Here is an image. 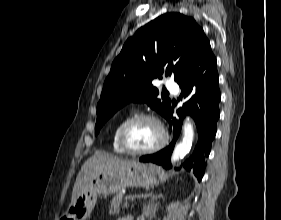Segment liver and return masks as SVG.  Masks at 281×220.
I'll return each instance as SVG.
<instances>
[{
    "mask_svg": "<svg viewBox=\"0 0 281 220\" xmlns=\"http://www.w3.org/2000/svg\"><path fill=\"white\" fill-rule=\"evenodd\" d=\"M134 163H136V161L124 160L107 153L96 152L82 165L78 173L73 187L71 203L76 200L78 195L85 189L88 182L100 171L116 170Z\"/></svg>",
    "mask_w": 281,
    "mask_h": 220,
    "instance_id": "liver-1",
    "label": "liver"
}]
</instances>
